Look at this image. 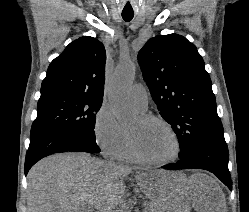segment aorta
Returning a JSON list of instances; mask_svg holds the SVG:
<instances>
[{
  "instance_id": "762f6f07",
  "label": "aorta",
  "mask_w": 249,
  "mask_h": 212,
  "mask_svg": "<svg viewBox=\"0 0 249 212\" xmlns=\"http://www.w3.org/2000/svg\"><path fill=\"white\" fill-rule=\"evenodd\" d=\"M136 65L131 60L121 61L108 86V99L113 113L119 121H128L134 116L129 101V90L134 81Z\"/></svg>"
}]
</instances>
